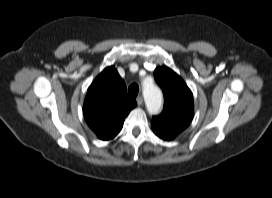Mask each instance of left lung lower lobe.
<instances>
[{"instance_id": "obj_1", "label": "left lung lower lobe", "mask_w": 272, "mask_h": 198, "mask_svg": "<svg viewBox=\"0 0 272 198\" xmlns=\"http://www.w3.org/2000/svg\"><path fill=\"white\" fill-rule=\"evenodd\" d=\"M154 132H155V134L158 136V137H160L161 139H163V140H172L173 139V137H171V136H169V135H166V134H164V133H162V132H159V131H156V130H153Z\"/></svg>"}]
</instances>
